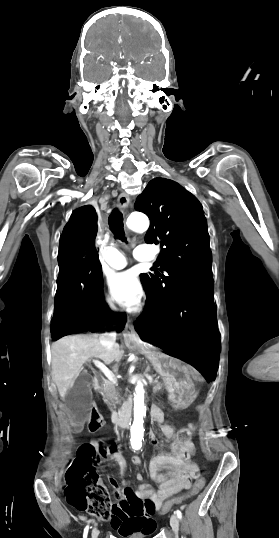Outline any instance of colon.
<instances>
[{
  "label": "colon",
  "mask_w": 279,
  "mask_h": 538,
  "mask_svg": "<svg viewBox=\"0 0 279 538\" xmlns=\"http://www.w3.org/2000/svg\"><path fill=\"white\" fill-rule=\"evenodd\" d=\"M96 423L97 428L103 425L101 418H98ZM193 432L192 425L186 426L178 431L175 441L186 446L185 459L188 473L195 479V482L188 495L165 502L160 510L161 513L168 512L175 505L195 497L205 485L204 479L199 474L196 450L191 443ZM119 454V447L116 444L93 446L88 443L80 446L65 475L64 493L68 502L75 508L87 510L104 521L114 516L121 518L153 516L157 506L150 497L142 498L131 488H124L122 489L123 497L118 502H114L108 489L101 482L93 463H97L102 458L115 459Z\"/></svg>",
  "instance_id": "1"
}]
</instances>
